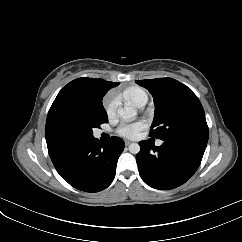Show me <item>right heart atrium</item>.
I'll list each match as a JSON object with an SVG mask.
<instances>
[{
	"label": "right heart atrium",
	"instance_id": "obj_1",
	"mask_svg": "<svg viewBox=\"0 0 242 242\" xmlns=\"http://www.w3.org/2000/svg\"><path fill=\"white\" fill-rule=\"evenodd\" d=\"M118 107V98L114 94H109L104 100V108L108 117L116 114Z\"/></svg>",
	"mask_w": 242,
	"mask_h": 242
}]
</instances>
